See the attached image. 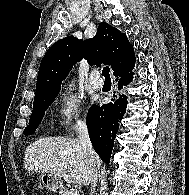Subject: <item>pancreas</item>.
I'll return each mask as SVG.
<instances>
[{"label":"pancreas","mask_w":189,"mask_h":195,"mask_svg":"<svg viewBox=\"0 0 189 195\" xmlns=\"http://www.w3.org/2000/svg\"><path fill=\"white\" fill-rule=\"evenodd\" d=\"M69 191L66 188H62L59 192V195H68Z\"/></svg>","instance_id":"cf45deb5"}]
</instances>
